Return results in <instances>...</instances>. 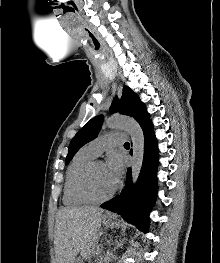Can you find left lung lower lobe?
I'll list each match as a JSON object with an SVG mask.
<instances>
[{
  "mask_svg": "<svg viewBox=\"0 0 220 263\" xmlns=\"http://www.w3.org/2000/svg\"><path fill=\"white\" fill-rule=\"evenodd\" d=\"M143 133L145 137L144 160L136 185L131 187V168H128L124 190L110 201L103 203L101 207L117 212L124 220L136 225L146 233L149 225V212L157 193L155 176L158 149L152 123L143 129Z\"/></svg>",
  "mask_w": 220,
  "mask_h": 263,
  "instance_id": "obj_1",
  "label": "left lung lower lobe"
}]
</instances>
